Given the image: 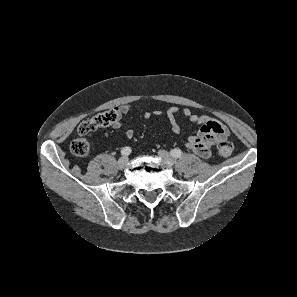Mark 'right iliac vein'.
Returning a JSON list of instances; mask_svg holds the SVG:
<instances>
[{
    "instance_id": "right-iliac-vein-1",
    "label": "right iliac vein",
    "mask_w": 297,
    "mask_h": 297,
    "mask_svg": "<svg viewBox=\"0 0 297 297\" xmlns=\"http://www.w3.org/2000/svg\"><path fill=\"white\" fill-rule=\"evenodd\" d=\"M128 165V158L127 157H121L118 162L117 166L120 170L124 169Z\"/></svg>"
}]
</instances>
